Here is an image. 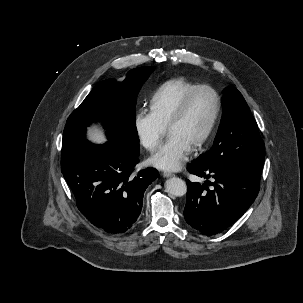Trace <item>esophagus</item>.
Returning a JSON list of instances; mask_svg holds the SVG:
<instances>
[{"mask_svg":"<svg viewBox=\"0 0 303 303\" xmlns=\"http://www.w3.org/2000/svg\"><path fill=\"white\" fill-rule=\"evenodd\" d=\"M162 175H163V177H166V178L174 176V174L171 172H163Z\"/></svg>","mask_w":303,"mask_h":303,"instance_id":"1","label":"esophagus"}]
</instances>
